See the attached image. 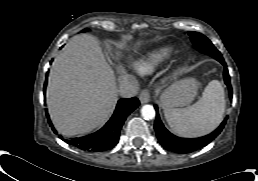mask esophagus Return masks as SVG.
I'll return each mask as SVG.
<instances>
[{
    "instance_id": "1",
    "label": "esophagus",
    "mask_w": 258,
    "mask_h": 181,
    "mask_svg": "<svg viewBox=\"0 0 258 181\" xmlns=\"http://www.w3.org/2000/svg\"><path fill=\"white\" fill-rule=\"evenodd\" d=\"M139 100L142 104L148 103L150 101V94L148 89H143L139 95Z\"/></svg>"
}]
</instances>
